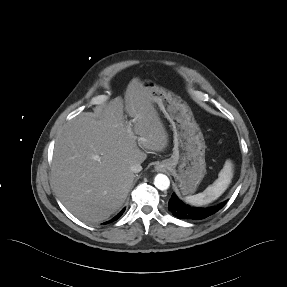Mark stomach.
Instances as JSON below:
<instances>
[{"instance_id": "stomach-1", "label": "stomach", "mask_w": 287, "mask_h": 287, "mask_svg": "<svg viewBox=\"0 0 287 287\" xmlns=\"http://www.w3.org/2000/svg\"><path fill=\"white\" fill-rule=\"evenodd\" d=\"M152 102L172 125L173 154L161 164L174 176L183 195L193 194L206 173L205 141L188 104L150 80L141 82Z\"/></svg>"}]
</instances>
